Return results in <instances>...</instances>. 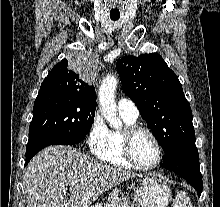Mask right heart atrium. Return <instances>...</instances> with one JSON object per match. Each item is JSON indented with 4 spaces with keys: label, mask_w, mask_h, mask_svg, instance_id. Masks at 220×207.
I'll return each instance as SVG.
<instances>
[{
    "label": "right heart atrium",
    "mask_w": 220,
    "mask_h": 207,
    "mask_svg": "<svg viewBox=\"0 0 220 207\" xmlns=\"http://www.w3.org/2000/svg\"><path fill=\"white\" fill-rule=\"evenodd\" d=\"M108 133L109 130L102 116L96 112L91 119L87 133V144L93 153L104 144Z\"/></svg>",
    "instance_id": "obj_1"
}]
</instances>
